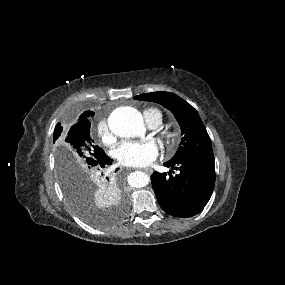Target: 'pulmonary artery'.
Returning a JSON list of instances; mask_svg holds the SVG:
<instances>
[{
    "label": "pulmonary artery",
    "mask_w": 285,
    "mask_h": 285,
    "mask_svg": "<svg viewBox=\"0 0 285 285\" xmlns=\"http://www.w3.org/2000/svg\"><path fill=\"white\" fill-rule=\"evenodd\" d=\"M150 127L155 128V127H157V125H150Z\"/></svg>",
    "instance_id": "pulmonary-artery-1"
}]
</instances>
